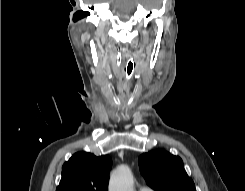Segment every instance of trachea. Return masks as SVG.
Listing matches in <instances>:
<instances>
[{
	"label": "trachea",
	"mask_w": 245,
	"mask_h": 191,
	"mask_svg": "<svg viewBox=\"0 0 245 191\" xmlns=\"http://www.w3.org/2000/svg\"><path fill=\"white\" fill-rule=\"evenodd\" d=\"M135 68V61L133 58H130L128 61H127V65H126V69H127V79H129V77L131 76L133 70Z\"/></svg>",
	"instance_id": "1"
}]
</instances>
